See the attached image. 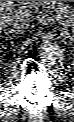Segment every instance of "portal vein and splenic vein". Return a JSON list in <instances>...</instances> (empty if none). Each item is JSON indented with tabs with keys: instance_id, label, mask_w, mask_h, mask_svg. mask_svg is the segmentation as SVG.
<instances>
[{
	"instance_id": "portal-vein-and-splenic-vein-1",
	"label": "portal vein and splenic vein",
	"mask_w": 74,
	"mask_h": 122,
	"mask_svg": "<svg viewBox=\"0 0 74 122\" xmlns=\"http://www.w3.org/2000/svg\"><path fill=\"white\" fill-rule=\"evenodd\" d=\"M17 2H20V1H17ZM18 4H15L13 1H4L3 2V7L2 8H4V9H7V10H11V9H13L14 7H16ZM58 19H60V17L58 16V17H56V16H54V20H58ZM61 25H64V26H68V25H65V24H63L62 22H59Z\"/></svg>"
}]
</instances>
